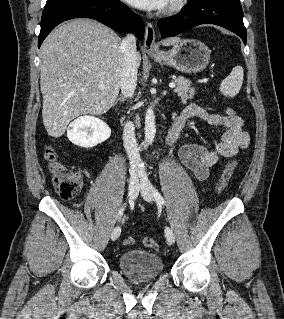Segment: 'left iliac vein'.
<instances>
[{
  "instance_id": "left-iliac-vein-1",
  "label": "left iliac vein",
  "mask_w": 284,
  "mask_h": 319,
  "mask_svg": "<svg viewBox=\"0 0 284 319\" xmlns=\"http://www.w3.org/2000/svg\"><path fill=\"white\" fill-rule=\"evenodd\" d=\"M140 191H141L142 197L146 201L148 202L154 201V189L150 181L147 179L146 175L142 176ZM165 236L169 244H173L175 242V236H174L173 230L170 227L165 228Z\"/></svg>"
}]
</instances>
